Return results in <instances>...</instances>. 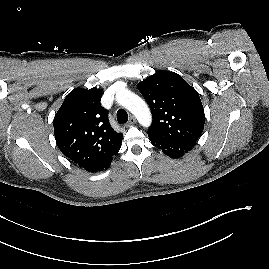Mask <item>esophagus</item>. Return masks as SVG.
Here are the masks:
<instances>
[{"mask_svg":"<svg viewBox=\"0 0 269 269\" xmlns=\"http://www.w3.org/2000/svg\"><path fill=\"white\" fill-rule=\"evenodd\" d=\"M136 123V118L134 116H131L126 126H132Z\"/></svg>","mask_w":269,"mask_h":269,"instance_id":"obj_1","label":"esophagus"}]
</instances>
